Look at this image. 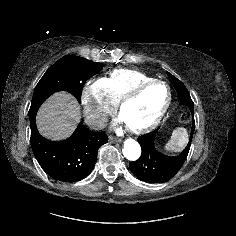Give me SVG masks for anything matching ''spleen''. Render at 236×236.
<instances>
[{
    "label": "spleen",
    "mask_w": 236,
    "mask_h": 236,
    "mask_svg": "<svg viewBox=\"0 0 236 236\" xmlns=\"http://www.w3.org/2000/svg\"><path fill=\"white\" fill-rule=\"evenodd\" d=\"M188 143V133L185 128H177L173 131L171 139L165 145L164 150L167 152H180Z\"/></svg>",
    "instance_id": "3e777b00"
}]
</instances>
